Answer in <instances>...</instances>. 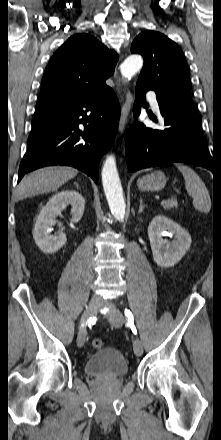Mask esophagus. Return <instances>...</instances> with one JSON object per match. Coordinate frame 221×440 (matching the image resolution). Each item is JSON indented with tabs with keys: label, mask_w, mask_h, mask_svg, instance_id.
Instances as JSON below:
<instances>
[{
	"label": "esophagus",
	"mask_w": 221,
	"mask_h": 440,
	"mask_svg": "<svg viewBox=\"0 0 221 440\" xmlns=\"http://www.w3.org/2000/svg\"><path fill=\"white\" fill-rule=\"evenodd\" d=\"M118 77V73L116 72V78ZM132 97L130 93H126V99L122 105L121 117L119 122V131L122 133L125 129V125L127 123V118L130 112Z\"/></svg>",
	"instance_id": "esophagus-1"
}]
</instances>
